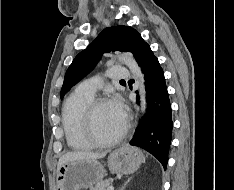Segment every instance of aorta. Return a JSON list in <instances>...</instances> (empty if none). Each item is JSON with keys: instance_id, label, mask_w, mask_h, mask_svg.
Masks as SVG:
<instances>
[{"instance_id": "762f6f07", "label": "aorta", "mask_w": 234, "mask_h": 190, "mask_svg": "<svg viewBox=\"0 0 234 190\" xmlns=\"http://www.w3.org/2000/svg\"><path fill=\"white\" fill-rule=\"evenodd\" d=\"M119 60H121L131 70L133 75L139 81L141 89V112L145 113L146 110L145 86H144V76L141 72V69L138 67V64L131 55H122L119 57Z\"/></svg>"}]
</instances>
